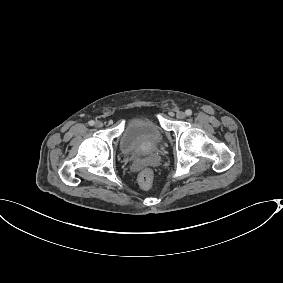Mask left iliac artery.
Wrapping results in <instances>:
<instances>
[{
	"label": "left iliac artery",
	"instance_id": "left-iliac-artery-1",
	"mask_svg": "<svg viewBox=\"0 0 283 283\" xmlns=\"http://www.w3.org/2000/svg\"><path fill=\"white\" fill-rule=\"evenodd\" d=\"M185 113H186L187 116L192 115V111H191L190 109H187V110L185 111Z\"/></svg>",
	"mask_w": 283,
	"mask_h": 283
}]
</instances>
